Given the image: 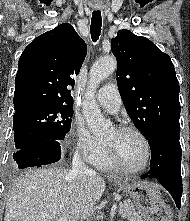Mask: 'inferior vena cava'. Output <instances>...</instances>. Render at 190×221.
Returning a JSON list of instances; mask_svg holds the SVG:
<instances>
[{
    "instance_id": "inferior-vena-cava-1",
    "label": "inferior vena cava",
    "mask_w": 190,
    "mask_h": 221,
    "mask_svg": "<svg viewBox=\"0 0 190 221\" xmlns=\"http://www.w3.org/2000/svg\"><path fill=\"white\" fill-rule=\"evenodd\" d=\"M94 174V171L89 169L86 164L81 160L78 150H76L70 176L77 178L80 181H85L89 175Z\"/></svg>"
}]
</instances>
